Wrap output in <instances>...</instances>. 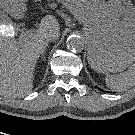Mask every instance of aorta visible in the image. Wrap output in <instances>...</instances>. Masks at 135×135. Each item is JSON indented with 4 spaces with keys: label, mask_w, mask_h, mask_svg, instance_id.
I'll return each instance as SVG.
<instances>
[{
    "label": "aorta",
    "mask_w": 135,
    "mask_h": 135,
    "mask_svg": "<svg viewBox=\"0 0 135 135\" xmlns=\"http://www.w3.org/2000/svg\"><path fill=\"white\" fill-rule=\"evenodd\" d=\"M66 45L71 51L81 52L84 48L85 40L80 35L72 34L67 38Z\"/></svg>",
    "instance_id": "762f6f07"
}]
</instances>
